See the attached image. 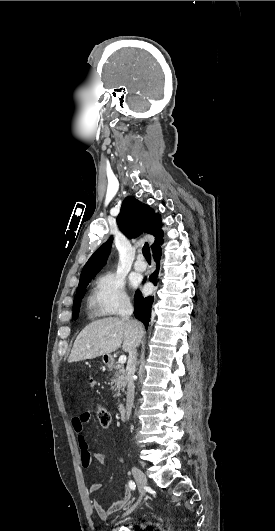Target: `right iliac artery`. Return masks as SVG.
Segmentation results:
<instances>
[{
	"label": "right iliac artery",
	"instance_id": "right-iliac-artery-1",
	"mask_svg": "<svg viewBox=\"0 0 275 531\" xmlns=\"http://www.w3.org/2000/svg\"><path fill=\"white\" fill-rule=\"evenodd\" d=\"M129 487H130L132 490H135L136 485H135V482H134L133 480H130V481H129Z\"/></svg>",
	"mask_w": 275,
	"mask_h": 531
}]
</instances>
